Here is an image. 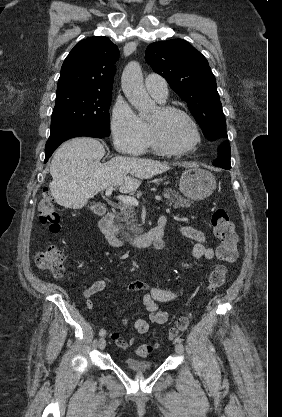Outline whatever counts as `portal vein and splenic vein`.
<instances>
[{"label":"portal vein and splenic vein","instance_id":"obj_1","mask_svg":"<svg viewBox=\"0 0 282 417\" xmlns=\"http://www.w3.org/2000/svg\"><path fill=\"white\" fill-rule=\"evenodd\" d=\"M112 190H113V186H109V188H106V190H105L106 196H111ZM116 198H118V200H122V202H124V204H135V206H138V204H139L137 198H134V196H127V194H119V196H116ZM151 199L152 200H162L163 196L162 195H152ZM137 209L141 210L142 208L138 207Z\"/></svg>","mask_w":282,"mask_h":417}]
</instances>
